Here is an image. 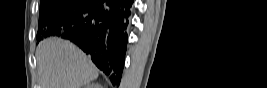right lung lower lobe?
Wrapping results in <instances>:
<instances>
[{
  "label": "right lung lower lobe",
  "mask_w": 267,
  "mask_h": 88,
  "mask_svg": "<svg viewBox=\"0 0 267 88\" xmlns=\"http://www.w3.org/2000/svg\"><path fill=\"white\" fill-rule=\"evenodd\" d=\"M133 0H82L44 28V36L69 39L119 85L124 67Z\"/></svg>",
  "instance_id": "98d812e1"
}]
</instances>
